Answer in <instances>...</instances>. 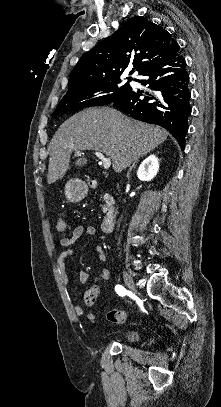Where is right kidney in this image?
I'll return each mask as SVG.
<instances>
[{"instance_id": "1", "label": "right kidney", "mask_w": 221, "mask_h": 407, "mask_svg": "<svg viewBox=\"0 0 221 407\" xmlns=\"http://www.w3.org/2000/svg\"><path fill=\"white\" fill-rule=\"evenodd\" d=\"M159 170V161L155 155L147 157L139 166L137 177L141 181H151Z\"/></svg>"}]
</instances>
